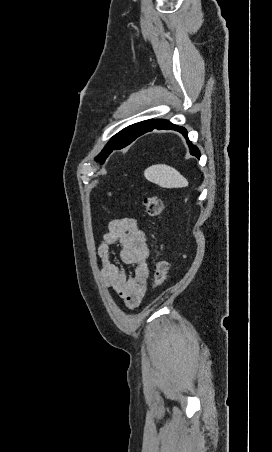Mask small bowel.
<instances>
[{
	"mask_svg": "<svg viewBox=\"0 0 272 452\" xmlns=\"http://www.w3.org/2000/svg\"><path fill=\"white\" fill-rule=\"evenodd\" d=\"M116 245H120L121 262L133 267L129 278L125 270L113 262L112 248ZM149 255L148 238L136 219L126 217L109 222L108 231L103 234L98 246L100 278L130 309L141 303L147 291Z\"/></svg>",
	"mask_w": 272,
	"mask_h": 452,
	"instance_id": "c3829d8e",
	"label": "small bowel"
}]
</instances>
